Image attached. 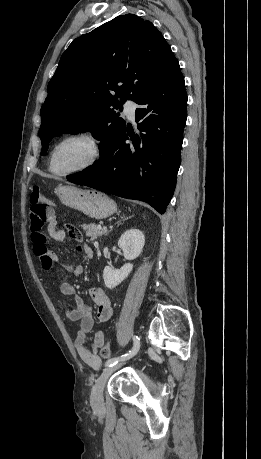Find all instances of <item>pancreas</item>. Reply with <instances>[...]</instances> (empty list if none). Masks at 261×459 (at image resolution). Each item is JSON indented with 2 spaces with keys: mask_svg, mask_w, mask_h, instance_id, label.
Here are the masks:
<instances>
[{
  "mask_svg": "<svg viewBox=\"0 0 261 459\" xmlns=\"http://www.w3.org/2000/svg\"><path fill=\"white\" fill-rule=\"evenodd\" d=\"M82 228L86 232V236L90 237V240H95L99 236H102L103 234H106L105 230L98 229L96 224L91 223V224H84L82 225Z\"/></svg>",
  "mask_w": 261,
  "mask_h": 459,
  "instance_id": "cf45deb5",
  "label": "pancreas"
}]
</instances>
